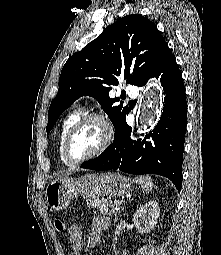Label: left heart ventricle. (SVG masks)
Instances as JSON below:
<instances>
[{
    "instance_id": "1",
    "label": "left heart ventricle",
    "mask_w": 221,
    "mask_h": 255,
    "mask_svg": "<svg viewBox=\"0 0 221 255\" xmlns=\"http://www.w3.org/2000/svg\"><path fill=\"white\" fill-rule=\"evenodd\" d=\"M104 139V130L97 121H89L74 135L70 144L73 158L81 159L93 153Z\"/></svg>"
}]
</instances>
